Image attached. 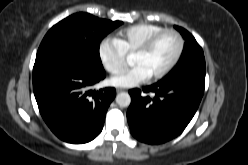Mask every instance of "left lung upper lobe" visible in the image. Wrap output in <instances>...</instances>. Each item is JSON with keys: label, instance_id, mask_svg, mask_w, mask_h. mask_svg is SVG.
I'll use <instances>...</instances> for the list:
<instances>
[{"label": "left lung upper lobe", "instance_id": "left-lung-upper-lobe-1", "mask_svg": "<svg viewBox=\"0 0 248 165\" xmlns=\"http://www.w3.org/2000/svg\"><path fill=\"white\" fill-rule=\"evenodd\" d=\"M174 27L181 33L186 42L177 67L164 79L181 77L194 70L205 71V58L201 46L187 30L179 26Z\"/></svg>", "mask_w": 248, "mask_h": 165}]
</instances>
